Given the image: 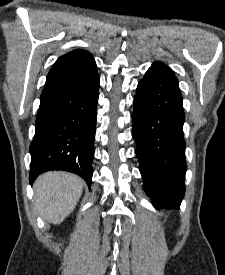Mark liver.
<instances>
[{
  "mask_svg": "<svg viewBox=\"0 0 225 275\" xmlns=\"http://www.w3.org/2000/svg\"><path fill=\"white\" fill-rule=\"evenodd\" d=\"M84 181L71 173L53 171L40 175L34 183L35 206L48 222L60 224L79 201Z\"/></svg>",
  "mask_w": 225,
  "mask_h": 275,
  "instance_id": "1",
  "label": "liver"
}]
</instances>
